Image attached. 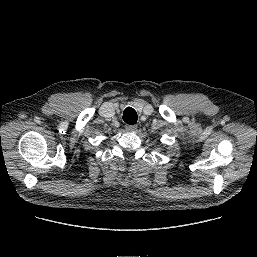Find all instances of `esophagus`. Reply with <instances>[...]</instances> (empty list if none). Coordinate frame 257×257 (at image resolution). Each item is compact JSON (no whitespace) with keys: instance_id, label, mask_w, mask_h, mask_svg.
<instances>
[{"instance_id":"esophagus-1","label":"esophagus","mask_w":257,"mask_h":257,"mask_svg":"<svg viewBox=\"0 0 257 257\" xmlns=\"http://www.w3.org/2000/svg\"><path fill=\"white\" fill-rule=\"evenodd\" d=\"M125 128H126L127 131L132 132V131H135L137 129V125H126Z\"/></svg>"}]
</instances>
